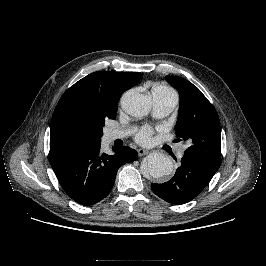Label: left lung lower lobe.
I'll return each instance as SVG.
<instances>
[{
  "instance_id": "0a47b994",
  "label": "left lung lower lobe",
  "mask_w": 266,
  "mask_h": 266,
  "mask_svg": "<svg viewBox=\"0 0 266 266\" xmlns=\"http://www.w3.org/2000/svg\"><path fill=\"white\" fill-rule=\"evenodd\" d=\"M216 171L207 169L185 157L175 175L163 184L152 183L153 192L172 204H184L194 199L210 182Z\"/></svg>"
}]
</instances>
